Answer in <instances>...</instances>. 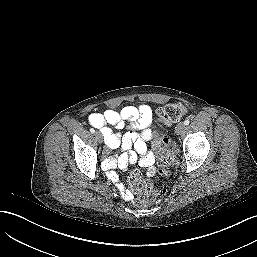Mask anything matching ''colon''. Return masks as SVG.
Masks as SVG:
<instances>
[{"label":"colon","mask_w":257,"mask_h":257,"mask_svg":"<svg viewBox=\"0 0 257 257\" xmlns=\"http://www.w3.org/2000/svg\"><path fill=\"white\" fill-rule=\"evenodd\" d=\"M186 108L180 103H170L160 107L157 110L158 118L166 124L179 122L186 115ZM154 149L158 153V163L161 167L166 168L175 161V154L170 147V139L165 135L155 138L153 143ZM165 173V170H162ZM129 184L132 189L140 196L136 199V204L146 206L158 202L162 199L167 191V183L161 182L157 187L143 179L142 174L134 171L129 176Z\"/></svg>","instance_id":"1"}]
</instances>
